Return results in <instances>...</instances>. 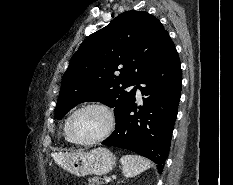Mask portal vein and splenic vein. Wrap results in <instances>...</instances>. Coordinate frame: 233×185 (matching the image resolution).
Segmentation results:
<instances>
[{"label": "portal vein and splenic vein", "instance_id": "18ae733b", "mask_svg": "<svg viewBox=\"0 0 233 185\" xmlns=\"http://www.w3.org/2000/svg\"><path fill=\"white\" fill-rule=\"evenodd\" d=\"M104 181H105L106 183H109V182L111 181V178H105Z\"/></svg>", "mask_w": 233, "mask_h": 185}]
</instances>
